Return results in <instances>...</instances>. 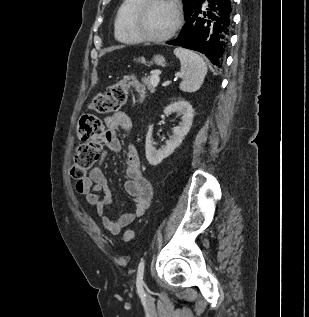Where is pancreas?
Returning a JSON list of instances; mask_svg holds the SVG:
<instances>
[{"instance_id":"pancreas-1","label":"pancreas","mask_w":309,"mask_h":317,"mask_svg":"<svg viewBox=\"0 0 309 317\" xmlns=\"http://www.w3.org/2000/svg\"><path fill=\"white\" fill-rule=\"evenodd\" d=\"M152 76V75H151ZM151 76L149 77H143L142 82L147 85L148 90L154 91L155 86L151 83Z\"/></svg>"}]
</instances>
